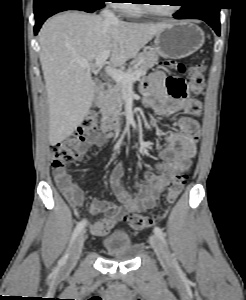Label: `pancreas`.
<instances>
[{
    "label": "pancreas",
    "mask_w": 246,
    "mask_h": 300,
    "mask_svg": "<svg viewBox=\"0 0 246 300\" xmlns=\"http://www.w3.org/2000/svg\"><path fill=\"white\" fill-rule=\"evenodd\" d=\"M158 62V54L155 51H145L137 55L134 62L126 70V73H133L135 71H140L141 76H144L149 69H151ZM125 86L116 82L115 85L110 87L102 95L99 107L100 111L105 116H110L116 119L122 113L123 106V90Z\"/></svg>",
    "instance_id": "obj_1"
}]
</instances>
